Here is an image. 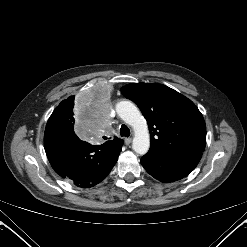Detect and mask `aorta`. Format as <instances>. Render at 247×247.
Returning a JSON list of instances; mask_svg holds the SVG:
<instances>
[{
  "label": "aorta",
  "instance_id": "1",
  "mask_svg": "<svg viewBox=\"0 0 247 247\" xmlns=\"http://www.w3.org/2000/svg\"><path fill=\"white\" fill-rule=\"evenodd\" d=\"M115 108L118 116L134 130L132 149L140 155L146 154L150 147L149 131L139 109L131 101H120Z\"/></svg>",
  "mask_w": 247,
  "mask_h": 247
}]
</instances>
